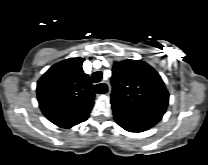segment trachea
I'll return each instance as SVG.
<instances>
[{
  "mask_svg": "<svg viewBox=\"0 0 208 165\" xmlns=\"http://www.w3.org/2000/svg\"><path fill=\"white\" fill-rule=\"evenodd\" d=\"M102 79V73L97 71L92 74V82L98 83ZM94 91L98 94H104L107 91V87L102 84H98L94 86Z\"/></svg>",
  "mask_w": 208,
  "mask_h": 165,
  "instance_id": "obj_1",
  "label": "trachea"
}]
</instances>
